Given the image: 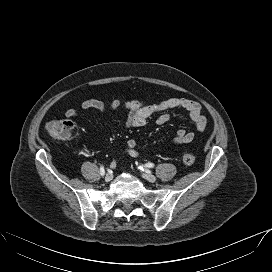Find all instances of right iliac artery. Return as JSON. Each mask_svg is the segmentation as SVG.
<instances>
[{"mask_svg": "<svg viewBox=\"0 0 272 272\" xmlns=\"http://www.w3.org/2000/svg\"><path fill=\"white\" fill-rule=\"evenodd\" d=\"M100 174H101L102 176L105 174L104 167H101V168H100Z\"/></svg>", "mask_w": 272, "mask_h": 272, "instance_id": "right-iliac-artery-1", "label": "right iliac artery"}]
</instances>
